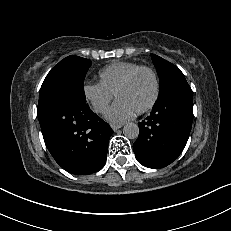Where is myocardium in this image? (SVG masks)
<instances>
[{
    "instance_id": "1",
    "label": "myocardium",
    "mask_w": 231,
    "mask_h": 231,
    "mask_svg": "<svg viewBox=\"0 0 231 231\" xmlns=\"http://www.w3.org/2000/svg\"><path fill=\"white\" fill-rule=\"evenodd\" d=\"M143 71H146L151 74L154 81V93L151 100L145 106H143L142 108L136 111L137 114H142L149 111L154 107V105L158 101L161 86H160V79L156 70L150 66L140 65L126 76V78L119 84V86L115 91V97L118 98L120 91L128 87L133 82L135 77Z\"/></svg>"
}]
</instances>
